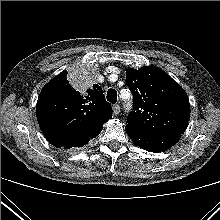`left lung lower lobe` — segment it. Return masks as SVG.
<instances>
[{
    "mask_svg": "<svg viewBox=\"0 0 220 220\" xmlns=\"http://www.w3.org/2000/svg\"><path fill=\"white\" fill-rule=\"evenodd\" d=\"M125 130L136 145L149 152L157 153L167 150L180 139V135L147 133L135 130L129 126H126Z\"/></svg>",
    "mask_w": 220,
    "mask_h": 220,
    "instance_id": "0a47b994",
    "label": "left lung lower lobe"
}]
</instances>
